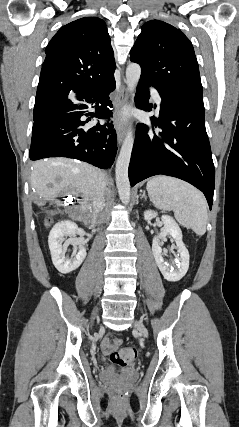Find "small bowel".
Here are the masks:
<instances>
[{"label": "small bowel", "instance_id": "c3829d8e", "mask_svg": "<svg viewBox=\"0 0 239 427\" xmlns=\"http://www.w3.org/2000/svg\"><path fill=\"white\" fill-rule=\"evenodd\" d=\"M121 344V340L120 339H114V340H110L108 337L103 339L102 343H101V347L104 353H109L110 351H112L113 349H115L116 347H118Z\"/></svg>", "mask_w": 239, "mask_h": 427}]
</instances>
